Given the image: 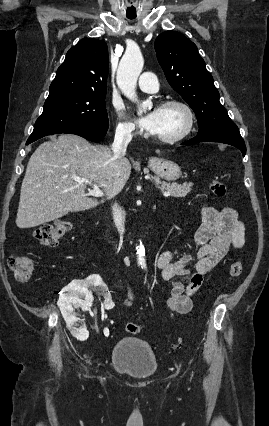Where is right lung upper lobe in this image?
Wrapping results in <instances>:
<instances>
[{"mask_svg": "<svg viewBox=\"0 0 269 426\" xmlns=\"http://www.w3.org/2000/svg\"><path fill=\"white\" fill-rule=\"evenodd\" d=\"M108 66L107 44L93 38L81 39L67 52L49 93L74 91L106 94Z\"/></svg>", "mask_w": 269, "mask_h": 426, "instance_id": "right-lung-upper-lobe-1", "label": "right lung upper lobe"}]
</instances>
